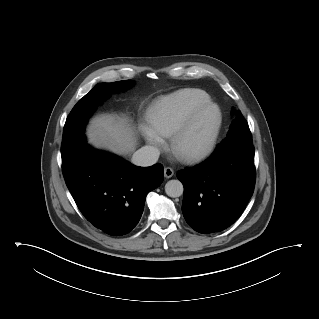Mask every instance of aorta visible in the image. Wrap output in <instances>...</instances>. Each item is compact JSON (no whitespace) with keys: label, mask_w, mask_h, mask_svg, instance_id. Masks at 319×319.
<instances>
[{"label":"aorta","mask_w":319,"mask_h":319,"mask_svg":"<svg viewBox=\"0 0 319 319\" xmlns=\"http://www.w3.org/2000/svg\"><path fill=\"white\" fill-rule=\"evenodd\" d=\"M165 192L169 197H179L183 194V184L179 180H170L165 185Z\"/></svg>","instance_id":"aorta-1"}]
</instances>
